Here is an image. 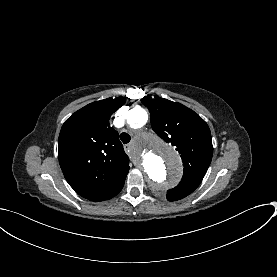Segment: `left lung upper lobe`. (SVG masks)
<instances>
[{
	"label": "left lung upper lobe",
	"mask_w": 277,
	"mask_h": 277,
	"mask_svg": "<svg viewBox=\"0 0 277 277\" xmlns=\"http://www.w3.org/2000/svg\"><path fill=\"white\" fill-rule=\"evenodd\" d=\"M149 109L151 126L165 142L176 146L184 164V173L177 187L167 191L168 201L191 194L201 183L210 165L213 146L206 122L186 106L164 98H142Z\"/></svg>",
	"instance_id": "left-lung-upper-lobe-1"
}]
</instances>
